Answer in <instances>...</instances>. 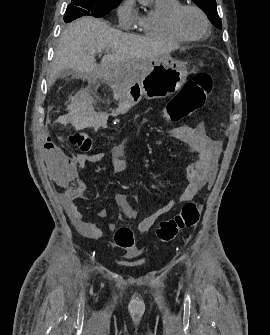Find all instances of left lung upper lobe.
<instances>
[{
  "label": "left lung upper lobe",
  "instance_id": "1",
  "mask_svg": "<svg viewBox=\"0 0 270 335\" xmlns=\"http://www.w3.org/2000/svg\"><path fill=\"white\" fill-rule=\"evenodd\" d=\"M208 16L210 22L219 30L222 29L215 0H193Z\"/></svg>",
  "mask_w": 270,
  "mask_h": 335
}]
</instances>
